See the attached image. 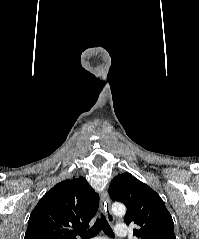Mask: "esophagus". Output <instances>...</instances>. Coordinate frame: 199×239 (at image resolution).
Segmentation results:
<instances>
[{
	"instance_id": "obj_1",
	"label": "esophagus",
	"mask_w": 199,
	"mask_h": 239,
	"mask_svg": "<svg viewBox=\"0 0 199 239\" xmlns=\"http://www.w3.org/2000/svg\"><path fill=\"white\" fill-rule=\"evenodd\" d=\"M100 205L104 209V212L106 214L108 221L110 223H113L115 218H114L113 213L111 212V208H110L111 203H110V199H109V196H108V193L106 190L103 191L100 195Z\"/></svg>"
}]
</instances>
